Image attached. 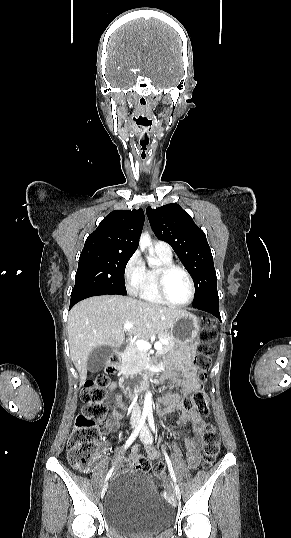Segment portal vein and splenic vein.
Listing matches in <instances>:
<instances>
[{
	"label": "portal vein and splenic vein",
	"mask_w": 291,
	"mask_h": 538,
	"mask_svg": "<svg viewBox=\"0 0 291 538\" xmlns=\"http://www.w3.org/2000/svg\"><path fill=\"white\" fill-rule=\"evenodd\" d=\"M133 325H134L133 323L127 322V323L124 324L123 328L125 330H129V329H131L133 327ZM136 345L141 350H149L151 348V344L149 342H147V341H144V340H137ZM161 347H162V342H160V341L155 342V344H154L155 349H160Z\"/></svg>",
	"instance_id": "portal-vein-and-splenic-vein-1"
}]
</instances>
